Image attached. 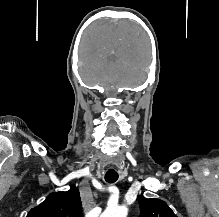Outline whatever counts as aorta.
I'll use <instances>...</instances> for the list:
<instances>
[{
  "mask_svg": "<svg viewBox=\"0 0 219 217\" xmlns=\"http://www.w3.org/2000/svg\"><path fill=\"white\" fill-rule=\"evenodd\" d=\"M128 209L125 206L108 207L101 217H127Z\"/></svg>",
  "mask_w": 219,
  "mask_h": 217,
  "instance_id": "762f6f07",
  "label": "aorta"
}]
</instances>
